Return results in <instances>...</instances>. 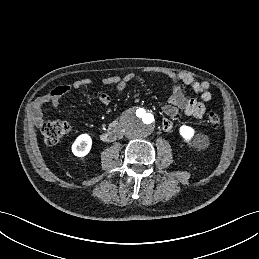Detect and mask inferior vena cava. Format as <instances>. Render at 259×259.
<instances>
[{"mask_svg":"<svg viewBox=\"0 0 259 259\" xmlns=\"http://www.w3.org/2000/svg\"><path fill=\"white\" fill-rule=\"evenodd\" d=\"M122 136H123V132L119 131L118 137H119V138H122Z\"/></svg>","mask_w":259,"mask_h":259,"instance_id":"inferior-vena-cava-1","label":"inferior vena cava"}]
</instances>
